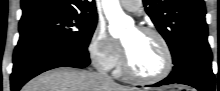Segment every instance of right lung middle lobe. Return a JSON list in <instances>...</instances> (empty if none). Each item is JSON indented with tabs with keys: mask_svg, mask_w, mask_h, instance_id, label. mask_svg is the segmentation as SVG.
<instances>
[{
	"mask_svg": "<svg viewBox=\"0 0 220 91\" xmlns=\"http://www.w3.org/2000/svg\"><path fill=\"white\" fill-rule=\"evenodd\" d=\"M97 24V15L56 14L19 24L20 38L52 39L73 49L86 50Z\"/></svg>",
	"mask_w": 220,
	"mask_h": 91,
	"instance_id": "obj_1",
	"label": "right lung middle lobe"
}]
</instances>
